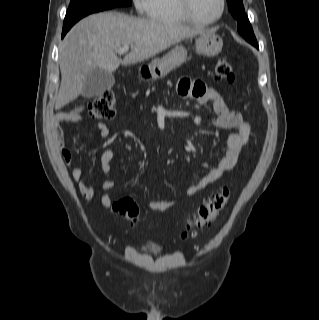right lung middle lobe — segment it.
I'll use <instances>...</instances> for the list:
<instances>
[{
  "label": "right lung middle lobe",
  "instance_id": "dd1d6c3e",
  "mask_svg": "<svg viewBox=\"0 0 319 320\" xmlns=\"http://www.w3.org/2000/svg\"><path fill=\"white\" fill-rule=\"evenodd\" d=\"M132 0H71L64 19L63 29L71 28L81 18L115 7L129 6Z\"/></svg>",
  "mask_w": 319,
  "mask_h": 320
}]
</instances>
